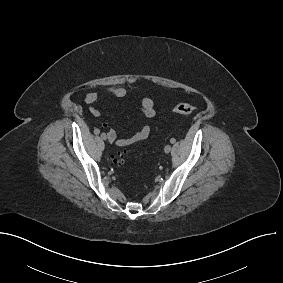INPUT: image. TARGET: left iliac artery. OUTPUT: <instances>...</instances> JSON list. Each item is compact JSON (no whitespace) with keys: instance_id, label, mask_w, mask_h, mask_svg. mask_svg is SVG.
Listing matches in <instances>:
<instances>
[{"instance_id":"obj_1","label":"left iliac artery","mask_w":283,"mask_h":283,"mask_svg":"<svg viewBox=\"0 0 283 283\" xmlns=\"http://www.w3.org/2000/svg\"><path fill=\"white\" fill-rule=\"evenodd\" d=\"M175 139L174 138H172L171 140H170V142L173 144V143H175Z\"/></svg>"}]
</instances>
